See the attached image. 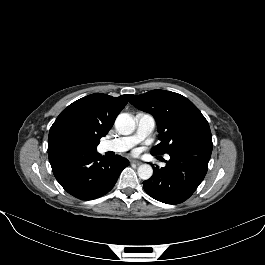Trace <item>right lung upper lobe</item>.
<instances>
[{
  "instance_id": "right-lung-upper-lobe-1",
  "label": "right lung upper lobe",
  "mask_w": 265,
  "mask_h": 265,
  "mask_svg": "<svg viewBox=\"0 0 265 265\" xmlns=\"http://www.w3.org/2000/svg\"><path fill=\"white\" fill-rule=\"evenodd\" d=\"M132 95L112 97L94 93L83 97L64 109L50 128L48 154L68 149L66 139L80 135L99 143L111 128L117 114L125 107Z\"/></svg>"
}]
</instances>
